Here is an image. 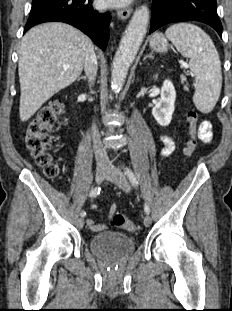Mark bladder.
I'll use <instances>...</instances> for the list:
<instances>
[{
  "instance_id": "1",
  "label": "bladder",
  "mask_w": 232,
  "mask_h": 311,
  "mask_svg": "<svg viewBox=\"0 0 232 311\" xmlns=\"http://www.w3.org/2000/svg\"><path fill=\"white\" fill-rule=\"evenodd\" d=\"M93 253L108 262H118L128 257L135 249L133 239L121 232L104 231L90 239Z\"/></svg>"
}]
</instances>
